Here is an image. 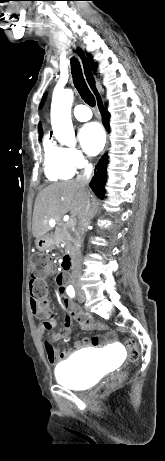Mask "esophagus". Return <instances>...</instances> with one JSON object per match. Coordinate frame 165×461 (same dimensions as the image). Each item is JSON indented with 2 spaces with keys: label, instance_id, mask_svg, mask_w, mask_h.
Instances as JSON below:
<instances>
[{
  "label": "esophagus",
  "instance_id": "1",
  "mask_svg": "<svg viewBox=\"0 0 165 461\" xmlns=\"http://www.w3.org/2000/svg\"><path fill=\"white\" fill-rule=\"evenodd\" d=\"M81 62H82V65H83V67H84V70H85V66H86L87 63H86L85 59H84L82 56H81ZM98 95H99V94H98ZM97 109H98L101 113L103 112V103H102L100 97L97 98Z\"/></svg>",
  "mask_w": 165,
  "mask_h": 461
}]
</instances>
